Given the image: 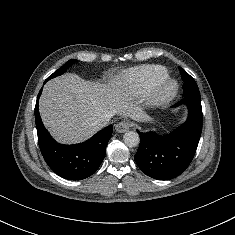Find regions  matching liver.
<instances>
[{
    "instance_id": "1",
    "label": "liver",
    "mask_w": 235,
    "mask_h": 235,
    "mask_svg": "<svg viewBox=\"0 0 235 235\" xmlns=\"http://www.w3.org/2000/svg\"><path fill=\"white\" fill-rule=\"evenodd\" d=\"M39 111L51 135L66 144L90 138L101 128L96 121L106 114L128 116L137 121L145 117L120 83H91L76 74H65L47 82L39 100Z\"/></svg>"
}]
</instances>
